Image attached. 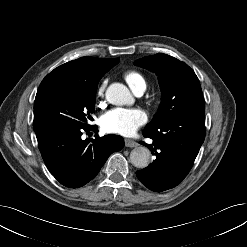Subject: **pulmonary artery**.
Masks as SVG:
<instances>
[{
    "mask_svg": "<svg viewBox=\"0 0 247 247\" xmlns=\"http://www.w3.org/2000/svg\"><path fill=\"white\" fill-rule=\"evenodd\" d=\"M143 91H144V89H138V90L135 91V94H136L137 96H140V95L143 94Z\"/></svg>",
    "mask_w": 247,
    "mask_h": 247,
    "instance_id": "pulmonary-artery-1",
    "label": "pulmonary artery"
}]
</instances>
